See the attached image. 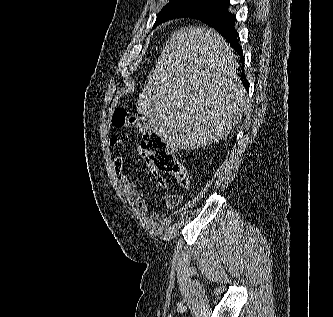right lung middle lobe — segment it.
<instances>
[{
	"instance_id": "1",
	"label": "right lung middle lobe",
	"mask_w": 333,
	"mask_h": 317,
	"mask_svg": "<svg viewBox=\"0 0 333 317\" xmlns=\"http://www.w3.org/2000/svg\"><path fill=\"white\" fill-rule=\"evenodd\" d=\"M228 0H171L157 15L154 26L176 18L193 17L219 10Z\"/></svg>"
}]
</instances>
